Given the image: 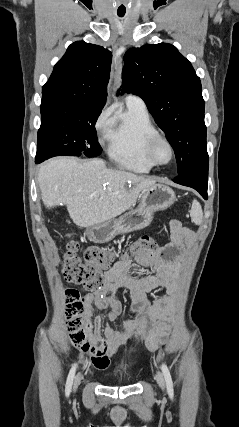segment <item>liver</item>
<instances>
[{
	"label": "liver",
	"instance_id": "1",
	"mask_svg": "<svg viewBox=\"0 0 239 427\" xmlns=\"http://www.w3.org/2000/svg\"><path fill=\"white\" fill-rule=\"evenodd\" d=\"M38 183L46 208L65 204L73 222L89 228L128 210L155 180L107 168L99 158L57 157L40 167Z\"/></svg>",
	"mask_w": 239,
	"mask_h": 427
}]
</instances>
